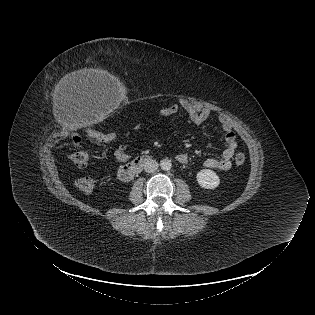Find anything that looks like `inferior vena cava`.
<instances>
[{
  "mask_svg": "<svg viewBox=\"0 0 315 315\" xmlns=\"http://www.w3.org/2000/svg\"><path fill=\"white\" fill-rule=\"evenodd\" d=\"M158 169V163L156 160L149 159L144 164V170L145 172L152 173L155 172Z\"/></svg>",
  "mask_w": 315,
  "mask_h": 315,
  "instance_id": "obj_1",
  "label": "inferior vena cava"
}]
</instances>
